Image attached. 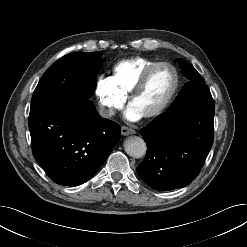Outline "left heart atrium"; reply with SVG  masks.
<instances>
[{"instance_id":"left-heart-atrium-1","label":"left heart atrium","mask_w":247,"mask_h":247,"mask_svg":"<svg viewBox=\"0 0 247 247\" xmlns=\"http://www.w3.org/2000/svg\"><path fill=\"white\" fill-rule=\"evenodd\" d=\"M125 116L128 120L130 121H137L139 119L142 118V115L139 114L134 108H132L131 106H129V108L127 109Z\"/></svg>"}]
</instances>
